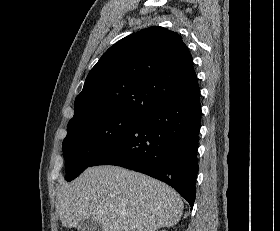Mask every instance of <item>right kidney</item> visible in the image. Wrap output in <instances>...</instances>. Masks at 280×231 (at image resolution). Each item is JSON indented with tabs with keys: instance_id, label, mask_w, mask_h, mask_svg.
I'll return each instance as SVG.
<instances>
[{
	"instance_id": "1",
	"label": "right kidney",
	"mask_w": 280,
	"mask_h": 231,
	"mask_svg": "<svg viewBox=\"0 0 280 231\" xmlns=\"http://www.w3.org/2000/svg\"><path fill=\"white\" fill-rule=\"evenodd\" d=\"M162 231H166V229H162Z\"/></svg>"
}]
</instances>
